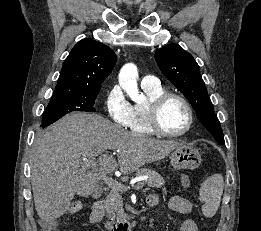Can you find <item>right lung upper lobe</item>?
Instances as JSON below:
<instances>
[{
  "label": "right lung upper lobe",
  "mask_w": 261,
  "mask_h": 231,
  "mask_svg": "<svg viewBox=\"0 0 261 231\" xmlns=\"http://www.w3.org/2000/svg\"><path fill=\"white\" fill-rule=\"evenodd\" d=\"M116 60L114 51L106 45L83 39L65 59L55 90H100Z\"/></svg>",
  "instance_id": "1"
}]
</instances>
